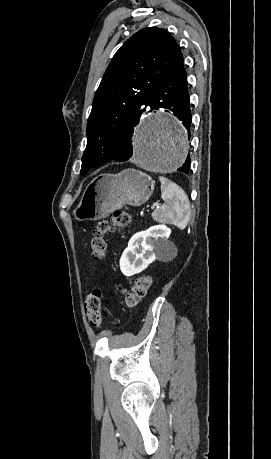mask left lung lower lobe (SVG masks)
Instances as JSON below:
<instances>
[{"instance_id":"1","label":"left lung lower lobe","mask_w":271,"mask_h":459,"mask_svg":"<svg viewBox=\"0 0 271 459\" xmlns=\"http://www.w3.org/2000/svg\"><path fill=\"white\" fill-rule=\"evenodd\" d=\"M147 106H150L149 112L156 111L159 108L168 109L182 121L190 136L191 112L189 108V92L187 88V72L184 67L170 75L163 82L157 85L148 95ZM139 119L134 121L125 129L121 136V150L109 161L123 162L132 157V135L134 127L138 124ZM190 169V158L187 157L182 167L177 170L188 173Z\"/></svg>"}]
</instances>
